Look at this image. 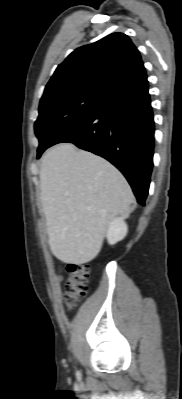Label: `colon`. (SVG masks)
Here are the masks:
<instances>
[{"label":"colon","instance_id":"1","mask_svg":"<svg viewBox=\"0 0 182 399\" xmlns=\"http://www.w3.org/2000/svg\"><path fill=\"white\" fill-rule=\"evenodd\" d=\"M67 271L69 279L66 285L65 299L68 308H72L74 303L86 294L89 267L85 264L69 263Z\"/></svg>","mask_w":182,"mask_h":399}]
</instances>
